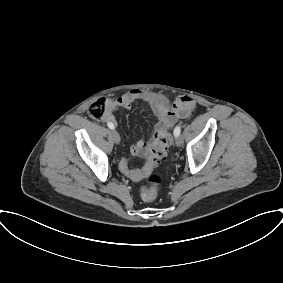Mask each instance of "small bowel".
<instances>
[{
    "mask_svg": "<svg viewBox=\"0 0 283 283\" xmlns=\"http://www.w3.org/2000/svg\"><path fill=\"white\" fill-rule=\"evenodd\" d=\"M139 100L147 102L151 107L158 120L157 124L155 125V130L157 131L167 122H174L176 118L186 116L193 106L192 100L187 96L179 97L176 101V105L174 106L162 96L146 93L140 90H132L116 99L107 100V113L105 120L112 124L116 123L113 112L121 108L129 109L136 101ZM180 104L187 105L186 110L182 113H180L177 108ZM146 147L147 143L143 139H140L131 145L130 154L143 155ZM119 170L122 174L133 181H139L147 174V169L145 167L132 168L128 158H124L120 161Z\"/></svg>",
    "mask_w": 283,
    "mask_h": 283,
    "instance_id": "obj_1",
    "label": "small bowel"
}]
</instances>
